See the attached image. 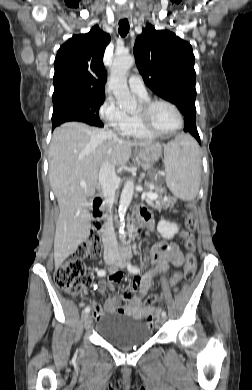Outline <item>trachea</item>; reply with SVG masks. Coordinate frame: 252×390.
Instances as JSON below:
<instances>
[{"label":"trachea","mask_w":252,"mask_h":390,"mask_svg":"<svg viewBox=\"0 0 252 390\" xmlns=\"http://www.w3.org/2000/svg\"><path fill=\"white\" fill-rule=\"evenodd\" d=\"M129 22L127 19H122L119 21V29L118 32L122 37H125L129 32Z\"/></svg>","instance_id":"1"}]
</instances>
